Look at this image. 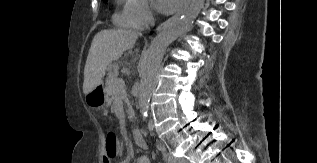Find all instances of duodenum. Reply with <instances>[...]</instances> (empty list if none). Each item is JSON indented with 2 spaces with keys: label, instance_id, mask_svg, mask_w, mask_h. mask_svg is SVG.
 <instances>
[{
  "label": "duodenum",
  "instance_id": "1",
  "mask_svg": "<svg viewBox=\"0 0 317 163\" xmlns=\"http://www.w3.org/2000/svg\"><path fill=\"white\" fill-rule=\"evenodd\" d=\"M134 143L139 147H145L146 146V140L140 130H134L132 132Z\"/></svg>",
  "mask_w": 317,
  "mask_h": 163
}]
</instances>
